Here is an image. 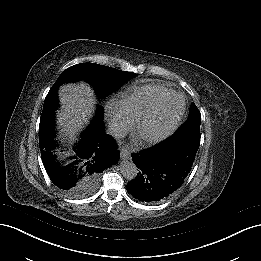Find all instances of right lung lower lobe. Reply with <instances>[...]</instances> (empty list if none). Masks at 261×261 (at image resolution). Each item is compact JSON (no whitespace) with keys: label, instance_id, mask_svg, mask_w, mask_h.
Segmentation results:
<instances>
[{"label":"right lung lower lobe","instance_id":"1","mask_svg":"<svg viewBox=\"0 0 261 261\" xmlns=\"http://www.w3.org/2000/svg\"><path fill=\"white\" fill-rule=\"evenodd\" d=\"M58 85L54 84L47 94L39 126V145L44 167L59 189L68 195H74L81 181L92 185L99 173L111 167L118 159L120 152L111 135L104 133L102 106L98 107L89 128L82 135L79 145L74 148V157L65 164L56 161L52 155L56 148L54 141V109L58 106Z\"/></svg>","mask_w":261,"mask_h":261}]
</instances>
